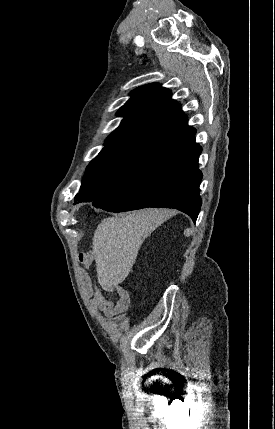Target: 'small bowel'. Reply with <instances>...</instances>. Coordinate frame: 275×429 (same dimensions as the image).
I'll list each match as a JSON object with an SVG mask.
<instances>
[{
    "label": "small bowel",
    "instance_id": "small-bowel-1",
    "mask_svg": "<svg viewBox=\"0 0 275 429\" xmlns=\"http://www.w3.org/2000/svg\"><path fill=\"white\" fill-rule=\"evenodd\" d=\"M85 294L90 298L91 304L105 316L111 317L124 312L129 306V293L119 285L110 286L106 289L114 291L118 295V300L114 303L107 300L99 288H94L88 278L83 282Z\"/></svg>",
    "mask_w": 275,
    "mask_h": 429
}]
</instances>
